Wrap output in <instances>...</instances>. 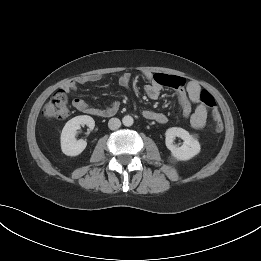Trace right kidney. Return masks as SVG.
I'll list each match as a JSON object with an SVG mask.
<instances>
[{
  "instance_id": "ca27d5eb",
  "label": "right kidney",
  "mask_w": 261,
  "mask_h": 261,
  "mask_svg": "<svg viewBox=\"0 0 261 261\" xmlns=\"http://www.w3.org/2000/svg\"><path fill=\"white\" fill-rule=\"evenodd\" d=\"M87 125L91 130L95 126V121L91 116L80 115L69 120L61 133V149L67 156L79 155L87 146L85 140H76L75 136L80 126Z\"/></svg>"
}]
</instances>
